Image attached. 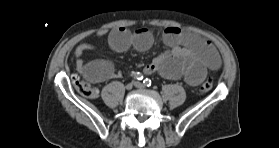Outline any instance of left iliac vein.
<instances>
[{
  "label": "left iliac vein",
  "mask_w": 279,
  "mask_h": 148,
  "mask_svg": "<svg viewBox=\"0 0 279 148\" xmlns=\"http://www.w3.org/2000/svg\"><path fill=\"white\" fill-rule=\"evenodd\" d=\"M134 86L138 89H144V85L140 82H134Z\"/></svg>",
  "instance_id": "4c4485c4"
}]
</instances>
